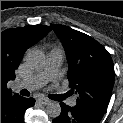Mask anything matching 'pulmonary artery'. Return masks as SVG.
Returning a JSON list of instances; mask_svg holds the SVG:
<instances>
[{
    "mask_svg": "<svg viewBox=\"0 0 123 123\" xmlns=\"http://www.w3.org/2000/svg\"><path fill=\"white\" fill-rule=\"evenodd\" d=\"M64 51L62 48L54 47L48 53V58L45 67L42 71L35 75L24 79L16 84V88H26L34 90L44 86L48 81L53 79L59 72V69L63 63ZM69 105L75 106L76 99L72 97L68 101Z\"/></svg>",
    "mask_w": 123,
    "mask_h": 123,
    "instance_id": "e3ab8cb5",
    "label": "pulmonary artery"
}]
</instances>
